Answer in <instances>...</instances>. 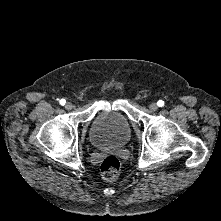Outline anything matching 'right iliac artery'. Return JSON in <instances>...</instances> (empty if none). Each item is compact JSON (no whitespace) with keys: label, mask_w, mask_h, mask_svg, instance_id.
I'll use <instances>...</instances> for the list:
<instances>
[{"label":"right iliac artery","mask_w":221,"mask_h":221,"mask_svg":"<svg viewBox=\"0 0 221 221\" xmlns=\"http://www.w3.org/2000/svg\"><path fill=\"white\" fill-rule=\"evenodd\" d=\"M65 103H66V101H65L64 99H61V100H60V104H61V105H65Z\"/></svg>","instance_id":"1"}]
</instances>
